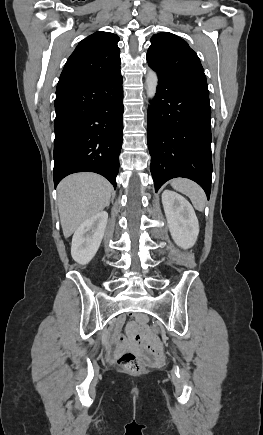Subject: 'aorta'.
I'll use <instances>...</instances> for the list:
<instances>
[{"label":"aorta","instance_id":"aorta-1","mask_svg":"<svg viewBox=\"0 0 263 435\" xmlns=\"http://www.w3.org/2000/svg\"><path fill=\"white\" fill-rule=\"evenodd\" d=\"M157 85L158 77L156 73L152 70H149L146 76V91L149 100H152L155 97Z\"/></svg>","mask_w":263,"mask_h":435}]
</instances>
